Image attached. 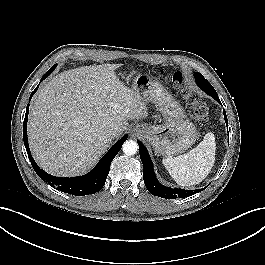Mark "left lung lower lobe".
<instances>
[{
  "label": "left lung lower lobe",
  "mask_w": 265,
  "mask_h": 265,
  "mask_svg": "<svg viewBox=\"0 0 265 265\" xmlns=\"http://www.w3.org/2000/svg\"><path fill=\"white\" fill-rule=\"evenodd\" d=\"M194 77L196 79L197 85L206 94L210 95L218 103L221 104L220 99L215 89L212 87V85L202 75L195 74ZM223 112H224V119H225V122L227 124V129H228V120H227L225 110H223ZM138 145H139L140 158L144 166V171H143L144 183H145L146 188L152 195L159 196L165 199H175V198L189 197V196H192L204 190V188L198 189V190H184L180 188H171V187H166L162 185L161 183H159V181L156 179V176L154 174L153 163L151 161V158L148 154L146 147L140 141H138Z\"/></svg>",
  "instance_id": "obj_1"
}]
</instances>
